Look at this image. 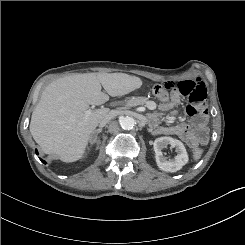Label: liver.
<instances>
[{
    "label": "liver",
    "instance_id": "6515ba94",
    "mask_svg": "<svg viewBox=\"0 0 245 245\" xmlns=\"http://www.w3.org/2000/svg\"><path fill=\"white\" fill-rule=\"evenodd\" d=\"M143 82L125 73H84L59 78L43 91L35 107L30 132L46 154H55L65 162L80 159L90 138L109 109H89L112 97L139 89ZM102 87L106 91H101ZM87 110L91 114L86 117Z\"/></svg>",
    "mask_w": 245,
    "mask_h": 245
}]
</instances>
